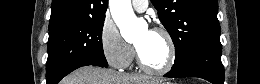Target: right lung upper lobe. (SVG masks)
I'll use <instances>...</instances> for the list:
<instances>
[{
	"instance_id": "1",
	"label": "right lung upper lobe",
	"mask_w": 260,
	"mask_h": 84,
	"mask_svg": "<svg viewBox=\"0 0 260 84\" xmlns=\"http://www.w3.org/2000/svg\"><path fill=\"white\" fill-rule=\"evenodd\" d=\"M108 0H53L49 30L105 15Z\"/></svg>"
}]
</instances>
